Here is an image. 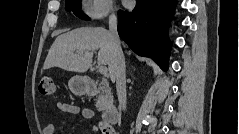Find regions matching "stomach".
Segmentation results:
<instances>
[{"label": "stomach", "instance_id": "obj_1", "mask_svg": "<svg viewBox=\"0 0 239 134\" xmlns=\"http://www.w3.org/2000/svg\"><path fill=\"white\" fill-rule=\"evenodd\" d=\"M70 90L76 95H84L88 92V79L84 76H74L68 82Z\"/></svg>", "mask_w": 239, "mask_h": 134}]
</instances>
